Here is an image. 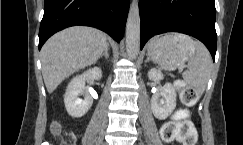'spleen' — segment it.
Returning <instances> with one entry per match:
<instances>
[{"label":"spleen","mask_w":243,"mask_h":145,"mask_svg":"<svg viewBox=\"0 0 243 145\" xmlns=\"http://www.w3.org/2000/svg\"><path fill=\"white\" fill-rule=\"evenodd\" d=\"M195 53L188 61V69L183 72L184 81L200 96L205 91L210 73L211 57L204 45L194 42Z\"/></svg>","instance_id":"1"}]
</instances>
